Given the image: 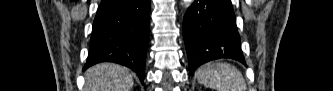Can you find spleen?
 I'll use <instances>...</instances> for the list:
<instances>
[{
  "label": "spleen",
  "instance_id": "1",
  "mask_svg": "<svg viewBox=\"0 0 333 91\" xmlns=\"http://www.w3.org/2000/svg\"><path fill=\"white\" fill-rule=\"evenodd\" d=\"M198 82L216 91H246L240 71L228 63L205 64L196 70Z\"/></svg>",
  "mask_w": 333,
  "mask_h": 91
}]
</instances>
